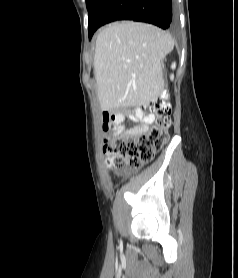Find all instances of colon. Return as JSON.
Listing matches in <instances>:
<instances>
[{
  "mask_svg": "<svg viewBox=\"0 0 238 278\" xmlns=\"http://www.w3.org/2000/svg\"><path fill=\"white\" fill-rule=\"evenodd\" d=\"M150 109L155 113L154 124L146 129L113 134L105 144L107 165L118 171L139 168L149 163L169 139L172 108L164 94L155 100ZM106 130L107 126L104 125Z\"/></svg>",
  "mask_w": 238,
  "mask_h": 278,
  "instance_id": "obj_1",
  "label": "colon"
}]
</instances>
